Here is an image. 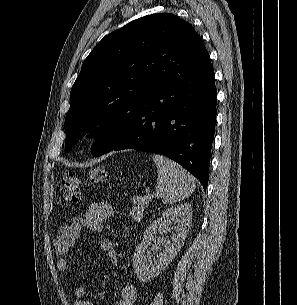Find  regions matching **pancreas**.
Returning a JSON list of instances; mask_svg holds the SVG:
<instances>
[{
  "instance_id": "obj_1",
  "label": "pancreas",
  "mask_w": 297,
  "mask_h": 305,
  "mask_svg": "<svg viewBox=\"0 0 297 305\" xmlns=\"http://www.w3.org/2000/svg\"><path fill=\"white\" fill-rule=\"evenodd\" d=\"M132 204L133 206L130 210V215L134 220L138 221L143 216L145 198L135 196L132 198Z\"/></svg>"
}]
</instances>
